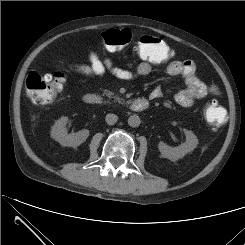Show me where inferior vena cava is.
Returning <instances> with one entry per match:
<instances>
[{"label": "inferior vena cava", "mask_w": 245, "mask_h": 245, "mask_svg": "<svg viewBox=\"0 0 245 245\" xmlns=\"http://www.w3.org/2000/svg\"><path fill=\"white\" fill-rule=\"evenodd\" d=\"M105 120H106L108 125H113L117 122L118 116L116 114L109 113L106 115Z\"/></svg>", "instance_id": "inferior-vena-cava-1"}]
</instances>
